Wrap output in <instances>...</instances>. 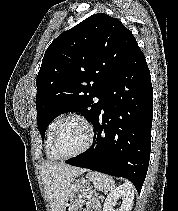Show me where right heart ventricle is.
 Returning <instances> with one entry per match:
<instances>
[{"label": "right heart ventricle", "instance_id": "right-heart-ventricle-1", "mask_svg": "<svg viewBox=\"0 0 178 211\" xmlns=\"http://www.w3.org/2000/svg\"><path fill=\"white\" fill-rule=\"evenodd\" d=\"M64 119L63 114H58L49 124L48 130H47V135H46V141H45V149H46V156L50 160H57L58 157L54 153L52 149V138H53V133L58 126V124Z\"/></svg>", "mask_w": 178, "mask_h": 211}]
</instances>
